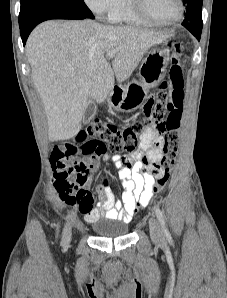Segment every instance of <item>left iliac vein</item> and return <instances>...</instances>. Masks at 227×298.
Here are the masks:
<instances>
[{
    "instance_id": "obj_1",
    "label": "left iliac vein",
    "mask_w": 227,
    "mask_h": 298,
    "mask_svg": "<svg viewBox=\"0 0 227 298\" xmlns=\"http://www.w3.org/2000/svg\"><path fill=\"white\" fill-rule=\"evenodd\" d=\"M149 229L152 240L157 244L163 243L164 236L161 227L155 217H151L149 219Z\"/></svg>"
}]
</instances>
